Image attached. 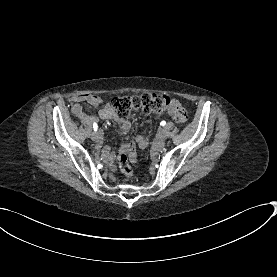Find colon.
Wrapping results in <instances>:
<instances>
[{"mask_svg": "<svg viewBox=\"0 0 277 277\" xmlns=\"http://www.w3.org/2000/svg\"><path fill=\"white\" fill-rule=\"evenodd\" d=\"M88 103H95L97 97L95 94H88L86 97ZM116 114L120 118H126L131 112L143 114H162L168 110L170 99L164 94L143 93L131 96H114L110 100ZM174 120L178 123L187 122V113L182 107H176L173 110ZM117 161L122 173L131 177L132 169L128 162H134L133 145L127 144L124 151L117 155Z\"/></svg>", "mask_w": 277, "mask_h": 277, "instance_id": "5ec220e1", "label": "colon"}]
</instances>
